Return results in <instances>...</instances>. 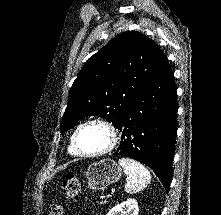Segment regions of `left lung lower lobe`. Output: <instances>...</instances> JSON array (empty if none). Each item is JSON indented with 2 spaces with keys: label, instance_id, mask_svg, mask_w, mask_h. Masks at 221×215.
Wrapping results in <instances>:
<instances>
[{
  "label": "left lung lower lobe",
  "instance_id": "0a47b994",
  "mask_svg": "<svg viewBox=\"0 0 221 215\" xmlns=\"http://www.w3.org/2000/svg\"><path fill=\"white\" fill-rule=\"evenodd\" d=\"M177 89L166 59L126 110L114 153L138 160L159 177L166 191L171 182L177 118Z\"/></svg>",
  "mask_w": 221,
  "mask_h": 215
}]
</instances>
